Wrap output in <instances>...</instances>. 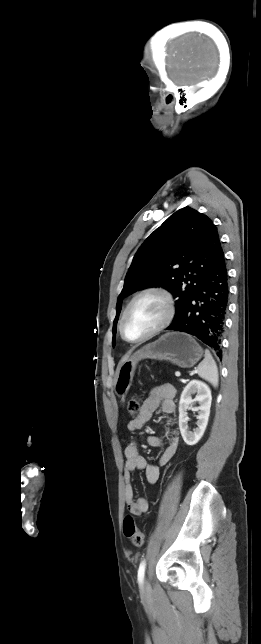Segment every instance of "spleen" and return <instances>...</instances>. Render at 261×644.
<instances>
[{"mask_svg": "<svg viewBox=\"0 0 261 644\" xmlns=\"http://www.w3.org/2000/svg\"><path fill=\"white\" fill-rule=\"evenodd\" d=\"M197 373L214 387L218 386V369L209 350H205L204 360L198 365Z\"/></svg>", "mask_w": 261, "mask_h": 644, "instance_id": "spleen-1", "label": "spleen"}]
</instances>
